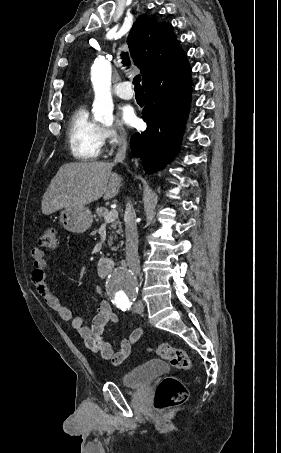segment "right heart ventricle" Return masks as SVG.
I'll return each instance as SVG.
<instances>
[{"instance_id":"right-heart-ventricle-1","label":"right heart ventricle","mask_w":281,"mask_h":453,"mask_svg":"<svg viewBox=\"0 0 281 453\" xmlns=\"http://www.w3.org/2000/svg\"><path fill=\"white\" fill-rule=\"evenodd\" d=\"M68 136L71 151L79 160H96L105 143L104 127L91 116L87 104L71 113Z\"/></svg>"}]
</instances>
